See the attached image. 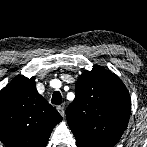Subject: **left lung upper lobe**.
Listing matches in <instances>:
<instances>
[{"label":"left lung upper lobe","mask_w":147,"mask_h":147,"mask_svg":"<svg viewBox=\"0 0 147 147\" xmlns=\"http://www.w3.org/2000/svg\"><path fill=\"white\" fill-rule=\"evenodd\" d=\"M66 109L78 147H114L128 123L131 101L124 83L101 66L84 71Z\"/></svg>","instance_id":"obj_1"}]
</instances>
